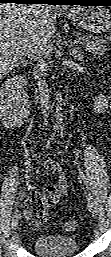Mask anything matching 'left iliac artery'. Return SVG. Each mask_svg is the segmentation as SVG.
<instances>
[{
	"mask_svg": "<svg viewBox=\"0 0 111 257\" xmlns=\"http://www.w3.org/2000/svg\"><path fill=\"white\" fill-rule=\"evenodd\" d=\"M78 171H79V175L81 177V179L83 180L84 184L87 186L88 188V181L83 173V171L80 169V167L78 166Z\"/></svg>",
	"mask_w": 111,
	"mask_h": 257,
	"instance_id": "44dca946",
	"label": "left iliac artery"
}]
</instances>
